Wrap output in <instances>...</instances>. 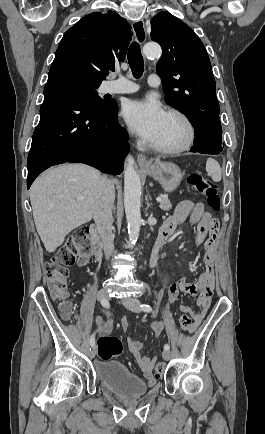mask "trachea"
Segmentation results:
<instances>
[{"mask_svg": "<svg viewBox=\"0 0 265 434\" xmlns=\"http://www.w3.org/2000/svg\"><path fill=\"white\" fill-rule=\"evenodd\" d=\"M128 63L135 78H140L144 72V60L141 55L140 46L133 42L128 50Z\"/></svg>", "mask_w": 265, "mask_h": 434, "instance_id": "obj_1", "label": "trachea"}]
</instances>
